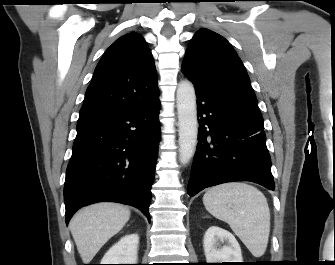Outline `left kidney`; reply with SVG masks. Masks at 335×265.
<instances>
[{"label": "left kidney", "mask_w": 335, "mask_h": 265, "mask_svg": "<svg viewBox=\"0 0 335 265\" xmlns=\"http://www.w3.org/2000/svg\"><path fill=\"white\" fill-rule=\"evenodd\" d=\"M203 247L207 263L242 262L241 248L235 236L218 226L207 229Z\"/></svg>", "instance_id": "5707ae66"}]
</instances>
